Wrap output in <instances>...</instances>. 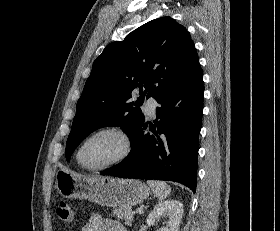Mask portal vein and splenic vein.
<instances>
[{"mask_svg": "<svg viewBox=\"0 0 280 231\" xmlns=\"http://www.w3.org/2000/svg\"><path fill=\"white\" fill-rule=\"evenodd\" d=\"M137 211H139V213H142L143 209H141L140 207V209H137Z\"/></svg>", "mask_w": 280, "mask_h": 231, "instance_id": "1", "label": "portal vein and splenic vein"}]
</instances>
